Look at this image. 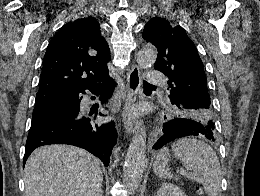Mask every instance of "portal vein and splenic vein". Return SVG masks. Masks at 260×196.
<instances>
[{
	"mask_svg": "<svg viewBox=\"0 0 260 196\" xmlns=\"http://www.w3.org/2000/svg\"><path fill=\"white\" fill-rule=\"evenodd\" d=\"M180 174H186L185 170H179Z\"/></svg>",
	"mask_w": 260,
	"mask_h": 196,
	"instance_id": "18ae733b",
	"label": "portal vein and splenic vein"
}]
</instances>
